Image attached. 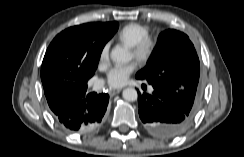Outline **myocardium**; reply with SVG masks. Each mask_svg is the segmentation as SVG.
I'll list each match as a JSON object with an SVG mask.
<instances>
[{
	"label": "myocardium",
	"instance_id": "obj_1",
	"mask_svg": "<svg viewBox=\"0 0 244 157\" xmlns=\"http://www.w3.org/2000/svg\"><path fill=\"white\" fill-rule=\"evenodd\" d=\"M157 39L147 36L132 46L133 56L140 62L149 61L157 49Z\"/></svg>",
	"mask_w": 244,
	"mask_h": 157
}]
</instances>
